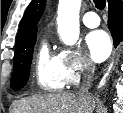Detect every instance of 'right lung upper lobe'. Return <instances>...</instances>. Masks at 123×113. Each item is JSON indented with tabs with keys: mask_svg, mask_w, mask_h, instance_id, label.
Wrapping results in <instances>:
<instances>
[{
	"mask_svg": "<svg viewBox=\"0 0 123 113\" xmlns=\"http://www.w3.org/2000/svg\"><path fill=\"white\" fill-rule=\"evenodd\" d=\"M46 0H32L27 7L19 27L16 47L37 35V23L40 20Z\"/></svg>",
	"mask_w": 123,
	"mask_h": 113,
	"instance_id": "obj_1",
	"label": "right lung upper lobe"
}]
</instances>
